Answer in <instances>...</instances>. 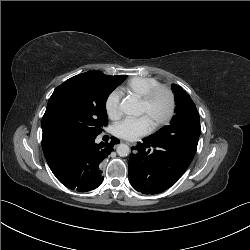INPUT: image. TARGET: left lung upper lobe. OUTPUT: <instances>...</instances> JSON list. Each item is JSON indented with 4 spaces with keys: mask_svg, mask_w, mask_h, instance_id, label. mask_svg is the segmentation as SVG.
Here are the masks:
<instances>
[{
    "mask_svg": "<svg viewBox=\"0 0 250 250\" xmlns=\"http://www.w3.org/2000/svg\"><path fill=\"white\" fill-rule=\"evenodd\" d=\"M172 90L175 94L176 109L170 125L163 127L153 135L165 136L174 133L177 127H188L190 124L200 123L199 114L194 102L182 87L173 84Z\"/></svg>",
    "mask_w": 250,
    "mask_h": 250,
    "instance_id": "1",
    "label": "left lung upper lobe"
}]
</instances>
